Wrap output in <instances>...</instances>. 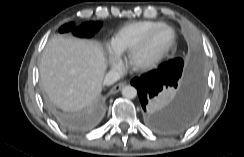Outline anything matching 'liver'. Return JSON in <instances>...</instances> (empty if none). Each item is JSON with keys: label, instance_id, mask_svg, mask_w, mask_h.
Wrapping results in <instances>:
<instances>
[{"label": "liver", "instance_id": "obj_1", "mask_svg": "<svg viewBox=\"0 0 244 157\" xmlns=\"http://www.w3.org/2000/svg\"><path fill=\"white\" fill-rule=\"evenodd\" d=\"M106 68L104 50L97 42L53 37L41 55L40 81L57 107L78 111L99 98Z\"/></svg>", "mask_w": 244, "mask_h": 157}]
</instances>
